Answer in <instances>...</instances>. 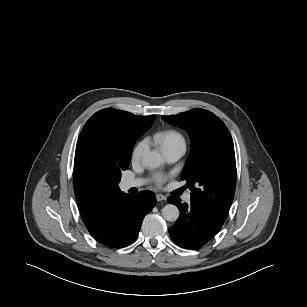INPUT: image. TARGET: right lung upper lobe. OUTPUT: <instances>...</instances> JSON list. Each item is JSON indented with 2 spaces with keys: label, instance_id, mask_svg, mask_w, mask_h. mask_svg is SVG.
<instances>
[{
  "label": "right lung upper lobe",
  "instance_id": "right-lung-upper-lobe-1",
  "mask_svg": "<svg viewBox=\"0 0 307 307\" xmlns=\"http://www.w3.org/2000/svg\"><path fill=\"white\" fill-rule=\"evenodd\" d=\"M154 120L155 115L138 116L106 108L92 115L84 125L76 146L73 175L76 201L90 234L101 229L115 203L125 195L118 184L96 169L91 155L94 136L112 124L132 125L145 133Z\"/></svg>",
  "mask_w": 307,
  "mask_h": 307
}]
</instances>
